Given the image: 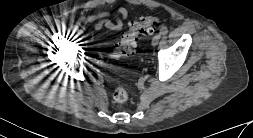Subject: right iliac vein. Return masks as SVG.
<instances>
[{"mask_svg":"<svg viewBox=\"0 0 253 138\" xmlns=\"http://www.w3.org/2000/svg\"><path fill=\"white\" fill-rule=\"evenodd\" d=\"M76 34H77L78 36H81V35L83 34V31H82L81 29H78V30L76 31Z\"/></svg>","mask_w":253,"mask_h":138,"instance_id":"obj_1","label":"right iliac vein"}]
</instances>
